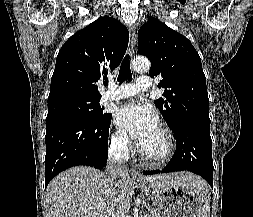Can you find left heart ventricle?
<instances>
[{
  "mask_svg": "<svg viewBox=\"0 0 253 217\" xmlns=\"http://www.w3.org/2000/svg\"><path fill=\"white\" fill-rule=\"evenodd\" d=\"M141 149L152 157L161 156L166 151V140L163 133L157 128L143 143Z\"/></svg>",
  "mask_w": 253,
  "mask_h": 217,
  "instance_id": "left-heart-ventricle-1",
  "label": "left heart ventricle"
}]
</instances>
